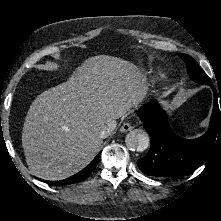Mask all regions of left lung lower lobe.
<instances>
[{
  "instance_id": "left-lung-lower-lobe-1",
  "label": "left lung lower lobe",
  "mask_w": 221,
  "mask_h": 221,
  "mask_svg": "<svg viewBox=\"0 0 221 221\" xmlns=\"http://www.w3.org/2000/svg\"><path fill=\"white\" fill-rule=\"evenodd\" d=\"M209 85L214 93L210 126L197 139L187 140L174 134L167 114L158 102L147 103L138 110V116L151 140L148 153L137 161L143 173L161 178L189 174L202 165L221 142V91L218 94L213 83Z\"/></svg>"
}]
</instances>
